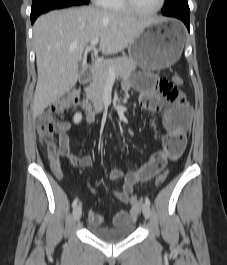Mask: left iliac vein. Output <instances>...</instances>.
I'll return each mask as SVG.
<instances>
[{
    "label": "left iliac vein",
    "mask_w": 227,
    "mask_h": 265,
    "mask_svg": "<svg viewBox=\"0 0 227 265\" xmlns=\"http://www.w3.org/2000/svg\"><path fill=\"white\" fill-rule=\"evenodd\" d=\"M142 213L145 216V218H149L150 217V208L149 205H147L146 203L142 204Z\"/></svg>",
    "instance_id": "left-iliac-vein-1"
}]
</instances>
